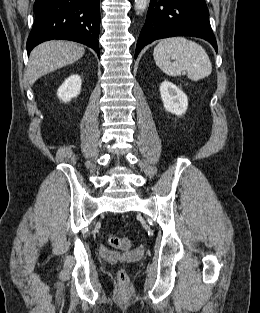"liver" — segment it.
Listing matches in <instances>:
<instances>
[{
    "label": "liver",
    "instance_id": "obj_1",
    "mask_svg": "<svg viewBox=\"0 0 260 313\" xmlns=\"http://www.w3.org/2000/svg\"><path fill=\"white\" fill-rule=\"evenodd\" d=\"M85 49L70 41H47L33 49L29 57L27 75L30 84L67 64L74 63Z\"/></svg>",
    "mask_w": 260,
    "mask_h": 313
}]
</instances>
